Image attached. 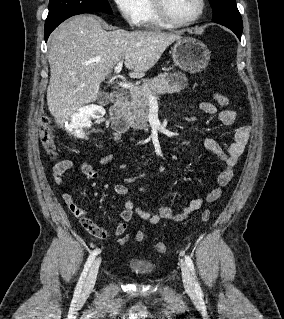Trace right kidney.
<instances>
[{"label":"right kidney","instance_id":"1","mask_svg":"<svg viewBox=\"0 0 284 319\" xmlns=\"http://www.w3.org/2000/svg\"><path fill=\"white\" fill-rule=\"evenodd\" d=\"M98 112L102 115L104 114V111L96 106H84L80 108L71 116V121L66 126V129L77 138H85L83 129L90 125V117L95 116Z\"/></svg>","mask_w":284,"mask_h":319}]
</instances>
